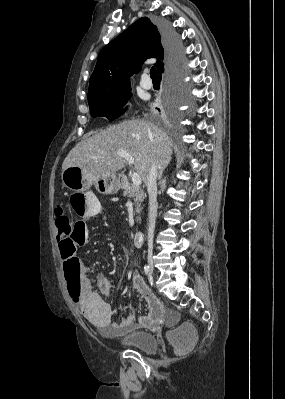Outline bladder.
<instances>
[{
	"instance_id": "31cf9c89",
	"label": "bladder",
	"mask_w": 285,
	"mask_h": 399,
	"mask_svg": "<svg viewBox=\"0 0 285 399\" xmlns=\"http://www.w3.org/2000/svg\"><path fill=\"white\" fill-rule=\"evenodd\" d=\"M101 333L106 334V329H101ZM120 342L130 348L141 350L145 353H155L158 350V344L152 333L134 332L127 337L120 339Z\"/></svg>"
}]
</instances>
